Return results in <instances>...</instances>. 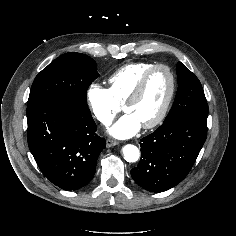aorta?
Segmentation results:
<instances>
[{"label": "aorta", "instance_id": "obj_1", "mask_svg": "<svg viewBox=\"0 0 236 236\" xmlns=\"http://www.w3.org/2000/svg\"><path fill=\"white\" fill-rule=\"evenodd\" d=\"M122 151H123L124 159L127 162H130V163L136 162L138 161L140 157L139 149L135 145H132V144L125 145Z\"/></svg>", "mask_w": 236, "mask_h": 236}]
</instances>
